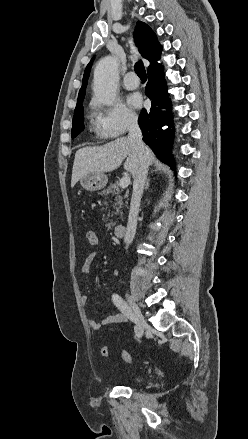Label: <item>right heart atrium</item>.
<instances>
[{
    "label": "right heart atrium",
    "mask_w": 248,
    "mask_h": 439,
    "mask_svg": "<svg viewBox=\"0 0 248 439\" xmlns=\"http://www.w3.org/2000/svg\"><path fill=\"white\" fill-rule=\"evenodd\" d=\"M93 120L99 137L113 139L133 128L137 123V115L120 101H115L107 106L94 101Z\"/></svg>",
    "instance_id": "1"
}]
</instances>
